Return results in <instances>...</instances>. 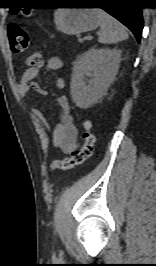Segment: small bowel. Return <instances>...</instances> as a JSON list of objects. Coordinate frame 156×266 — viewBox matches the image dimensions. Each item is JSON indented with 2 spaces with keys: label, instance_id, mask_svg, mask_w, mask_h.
Instances as JSON below:
<instances>
[{
  "label": "small bowel",
  "instance_id": "1",
  "mask_svg": "<svg viewBox=\"0 0 156 266\" xmlns=\"http://www.w3.org/2000/svg\"><path fill=\"white\" fill-rule=\"evenodd\" d=\"M62 67V61L58 57L49 58L37 67L29 68L23 73L21 82L19 83V93L22 96L29 95L32 91L46 95L47 92L42 89L34 79L42 70H58ZM57 89H63L65 81L58 77L55 80ZM59 107V121L55 124L54 131L51 136V144L59 148L64 153H72L78 148L77 128L73 123V117L70 113L69 101L65 95H59L56 98ZM32 114L43 124L48 130V124L37 106L31 107Z\"/></svg>",
  "mask_w": 156,
  "mask_h": 266
}]
</instances>
